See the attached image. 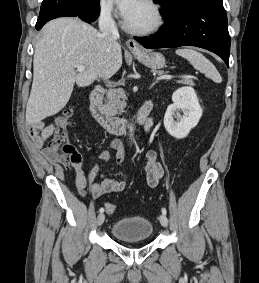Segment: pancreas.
<instances>
[{"label":"pancreas","instance_id":"obj_1","mask_svg":"<svg viewBox=\"0 0 259 283\" xmlns=\"http://www.w3.org/2000/svg\"><path fill=\"white\" fill-rule=\"evenodd\" d=\"M159 74L162 72L158 71ZM179 84L184 85H195L194 81L191 78H184L181 80L176 81ZM126 95L123 89H115L109 90L107 93V108L113 114H121L126 107Z\"/></svg>","mask_w":259,"mask_h":283}]
</instances>
